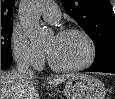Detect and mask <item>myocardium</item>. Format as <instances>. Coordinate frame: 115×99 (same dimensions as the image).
I'll list each match as a JSON object with an SVG mask.
<instances>
[{"instance_id":"1","label":"myocardium","mask_w":115,"mask_h":99,"mask_svg":"<svg viewBox=\"0 0 115 99\" xmlns=\"http://www.w3.org/2000/svg\"><path fill=\"white\" fill-rule=\"evenodd\" d=\"M71 34H76L80 35L86 42L87 47H88V55L84 61H82L79 64L76 65H69V66H60L55 64L54 62L51 61V59L48 57V64L50 68L54 71L57 72H75V71H80L83 70L89 66L92 65L96 58L97 50L95 43L91 36L84 30L79 29V28H67L58 33L59 36L63 35H71Z\"/></svg>"}]
</instances>
